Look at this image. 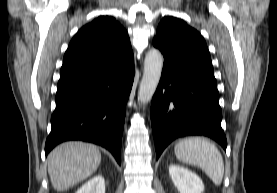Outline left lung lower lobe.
Wrapping results in <instances>:
<instances>
[{"label": "left lung lower lobe", "instance_id": "left-lung-lower-lobe-1", "mask_svg": "<svg viewBox=\"0 0 277 193\" xmlns=\"http://www.w3.org/2000/svg\"><path fill=\"white\" fill-rule=\"evenodd\" d=\"M150 114L156 159L171 141L189 135L208 136L226 150L213 68L164 58Z\"/></svg>", "mask_w": 277, "mask_h": 193}]
</instances>
